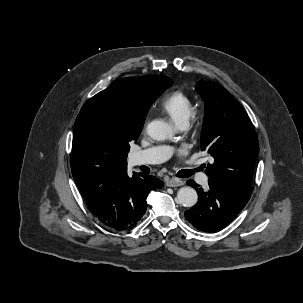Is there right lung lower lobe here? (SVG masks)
Wrapping results in <instances>:
<instances>
[{
  "label": "right lung lower lobe",
  "mask_w": 303,
  "mask_h": 303,
  "mask_svg": "<svg viewBox=\"0 0 303 303\" xmlns=\"http://www.w3.org/2000/svg\"><path fill=\"white\" fill-rule=\"evenodd\" d=\"M158 178L142 173L116 176L93 188L83 196L89 210L98 219L117 231L134 228L146 212L148 193L162 188Z\"/></svg>",
  "instance_id": "1"
}]
</instances>
